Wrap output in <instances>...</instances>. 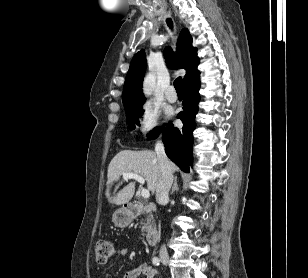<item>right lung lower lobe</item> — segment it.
Returning a JSON list of instances; mask_svg holds the SVG:
<instances>
[{
	"label": "right lung lower lobe",
	"mask_w": 308,
	"mask_h": 278,
	"mask_svg": "<svg viewBox=\"0 0 308 278\" xmlns=\"http://www.w3.org/2000/svg\"><path fill=\"white\" fill-rule=\"evenodd\" d=\"M199 88V78L184 87L183 111L177 116L182 120L183 128L178 129L169 123L163 130L165 152L184 172H189V164L192 165V132L195 129L194 119L200 100Z\"/></svg>",
	"instance_id": "obj_1"
}]
</instances>
